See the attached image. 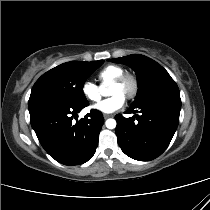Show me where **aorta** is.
<instances>
[{
	"mask_svg": "<svg viewBox=\"0 0 210 210\" xmlns=\"http://www.w3.org/2000/svg\"><path fill=\"white\" fill-rule=\"evenodd\" d=\"M102 94L105 95V93L103 91H102ZM105 124L108 129H114L116 127V120L108 119V120H106Z\"/></svg>",
	"mask_w": 210,
	"mask_h": 210,
	"instance_id": "aorta-1",
	"label": "aorta"
}]
</instances>
